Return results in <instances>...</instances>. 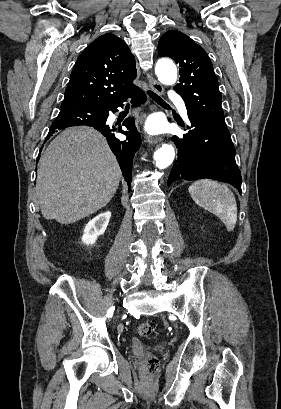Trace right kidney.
Here are the masks:
<instances>
[{
	"instance_id": "right-kidney-1",
	"label": "right kidney",
	"mask_w": 281,
	"mask_h": 409,
	"mask_svg": "<svg viewBox=\"0 0 281 409\" xmlns=\"http://www.w3.org/2000/svg\"><path fill=\"white\" fill-rule=\"evenodd\" d=\"M110 217V211H106V213H100V215L94 217L92 221H89L81 237L82 243H84V245H94L99 235H104L110 221Z\"/></svg>"
}]
</instances>
